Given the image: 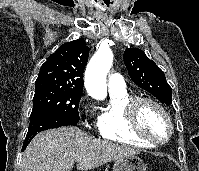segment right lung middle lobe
<instances>
[{
    "instance_id": "right-lung-middle-lobe-1",
    "label": "right lung middle lobe",
    "mask_w": 199,
    "mask_h": 171,
    "mask_svg": "<svg viewBox=\"0 0 199 171\" xmlns=\"http://www.w3.org/2000/svg\"><path fill=\"white\" fill-rule=\"evenodd\" d=\"M82 92L55 85H36L32 115L55 112L79 122L78 106Z\"/></svg>"
}]
</instances>
